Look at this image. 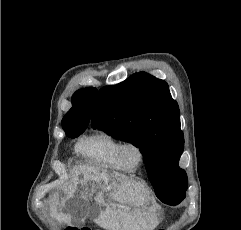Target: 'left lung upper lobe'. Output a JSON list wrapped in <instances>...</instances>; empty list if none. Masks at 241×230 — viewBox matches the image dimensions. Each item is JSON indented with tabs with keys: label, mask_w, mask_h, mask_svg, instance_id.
<instances>
[{
	"label": "left lung upper lobe",
	"mask_w": 241,
	"mask_h": 230,
	"mask_svg": "<svg viewBox=\"0 0 241 230\" xmlns=\"http://www.w3.org/2000/svg\"><path fill=\"white\" fill-rule=\"evenodd\" d=\"M92 127L131 142L144 156L157 197L178 204L187 189V176L178 162L184 149L179 107L168 84L145 72L100 89L92 113Z\"/></svg>",
	"instance_id": "1"
}]
</instances>
